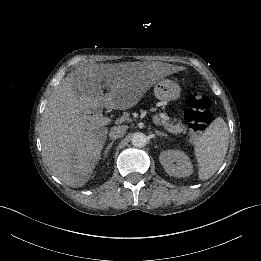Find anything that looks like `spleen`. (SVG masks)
<instances>
[{
	"label": "spleen",
	"mask_w": 261,
	"mask_h": 261,
	"mask_svg": "<svg viewBox=\"0 0 261 261\" xmlns=\"http://www.w3.org/2000/svg\"><path fill=\"white\" fill-rule=\"evenodd\" d=\"M229 130L222 115L216 116L194 147L200 181L211 178L223 163L228 150Z\"/></svg>",
	"instance_id": "3e777b00"
}]
</instances>
